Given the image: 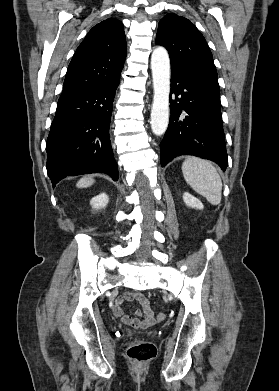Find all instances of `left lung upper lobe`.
I'll return each mask as SVG.
<instances>
[{
	"mask_svg": "<svg viewBox=\"0 0 279 391\" xmlns=\"http://www.w3.org/2000/svg\"><path fill=\"white\" fill-rule=\"evenodd\" d=\"M156 44L168 50L171 72L192 79L220 95L211 51L203 35L188 19L173 13L164 16L158 24Z\"/></svg>",
	"mask_w": 279,
	"mask_h": 391,
	"instance_id": "left-lung-upper-lobe-1",
	"label": "left lung upper lobe"
}]
</instances>
